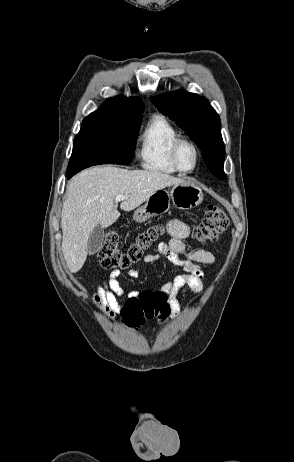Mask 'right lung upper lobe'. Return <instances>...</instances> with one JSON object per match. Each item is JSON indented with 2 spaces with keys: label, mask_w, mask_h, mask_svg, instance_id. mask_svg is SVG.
I'll list each match as a JSON object with an SVG mask.
<instances>
[{
  "label": "right lung upper lobe",
  "mask_w": 294,
  "mask_h": 462,
  "mask_svg": "<svg viewBox=\"0 0 294 462\" xmlns=\"http://www.w3.org/2000/svg\"><path fill=\"white\" fill-rule=\"evenodd\" d=\"M144 108L145 106L139 97L116 96L106 100L100 109L94 113L132 117L141 115Z\"/></svg>",
  "instance_id": "obj_1"
}]
</instances>
